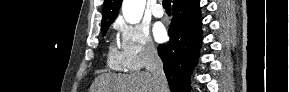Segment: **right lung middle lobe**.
Segmentation results:
<instances>
[{"mask_svg":"<svg viewBox=\"0 0 289 92\" xmlns=\"http://www.w3.org/2000/svg\"><path fill=\"white\" fill-rule=\"evenodd\" d=\"M110 25L102 27V35H105Z\"/></svg>","mask_w":289,"mask_h":92,"instance_id":"dd1d6c3e","label":"right lung middle lobe"}]
</instances>
